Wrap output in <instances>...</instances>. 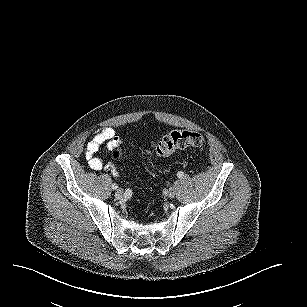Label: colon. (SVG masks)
<instances>
[{"label":"colon","mask_w":307,"mask_h":307,"mask_svg":"<svg viewBox=\"0 0 307 307\" xmlns=\"http://www.w3.org/2000/svg\"><path fill=\"white\" fill-rule=\"evenodd\" d=\"M205 138L202 134L189 130H175L166 134L155 146V153L160 157H168L178 150L190 147L203 148L205 146ZM120 150L113 151V158L119 159Z\"/></svg>","instance_id":"1"}]
</instances>
